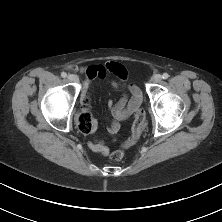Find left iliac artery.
Listing matches in <instances>:
<instances>
[{"instance_id":"1","label":"left iliac artery","mask_w":222,"mask_h":222,"mask_svg":"<svg viewBox=\"0 0 222 222\" xmlns=\"http://www.w3.org/2000/svg\"><path fill=\"white\" fill-rule=\"evenodd\" d=\"M168 77H169V74H168V73H163V75H162V78H163V79H168Z\"/></svg>"}]
</instances>
